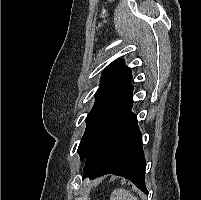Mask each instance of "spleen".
<instances>
[{"label": "spleen", "instance_id": "1", "mask_svg": "<svg viewBox=\"0 0 201 200\" xmlns=\"http://www.w3.org/2000/svg\"><path fill=\"white\" fill-rule=\"evenodd\" d=\"M110 200H138L130 191L125 189H114L111 193Z\"/></svg>", "mask_w": 201, "mask_h": 200}]
</instances>
